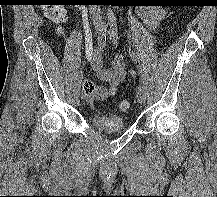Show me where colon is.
<instances>
[{"label":"colon","mask_w":217,"mask_h":197,"mask_svg":"<svg viewBox=\"0 0 217 197\" xmlns=\"http://www.w3.org/2000/svg\"><path fill=\"white\" fill-rule=\"evenodd\" d=\"M41 2L43 3L42 7L45 16L60 28L67 21L66 9L57 0H42ZM82 87L84 94L91 99L101 100L106 95L104 87L96 86L90 80H85ZM130 106L128 100H121L118 103V108L121 112H127Z\"/></svg>","instance_id":"obj_1"}]
</instances>
